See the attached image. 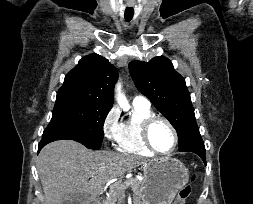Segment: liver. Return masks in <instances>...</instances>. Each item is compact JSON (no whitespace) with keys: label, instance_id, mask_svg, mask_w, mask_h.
Instances as JSON below:
<instances>
[{"label":"liver","instance_id":"liver-1","mask_svg":"<svg viewBox=\"0 0 253 204\" xmlns=\"http://www.w3.org/2000/svg\"><path fill=\"white\" fill-rule=\"evenodd\" d=\"M148 163L128 153L93 151L82 144L62 140L46 145L38 155L37 170L45 195L44 204H61L70 194H101L110 180Z\"/></svg>","mask_w":253,"mask_h":204}]
</instances>
